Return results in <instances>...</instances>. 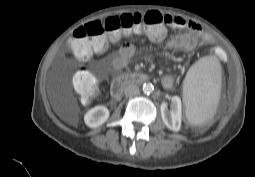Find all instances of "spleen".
Returning a JSON list of instances; mask_svg holds the SVG:
<instances>
[{"label":"spleen","instance_id":"obj_1","mask_svg":"<svg viewBox=\"0 0 255 177\" xmlns=\"http://www.w3.org/2000/svg\"><path fill=\"white\" fill-rule=\"evenodd\" d=\"M221 90V66L216 56H206L188 70L183 84L186 117L192 125L208 122L215 114Z\"/></svg>","mask_w":255,"mask_h":177}]
</instances>
